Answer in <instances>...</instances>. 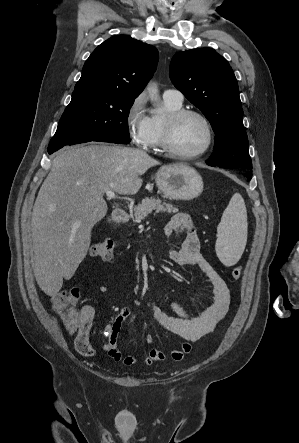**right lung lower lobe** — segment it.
<instances>
[{"instance_id": "obj_1", "label": "right lung lower lobe", "mask_w": 299, "mask_h": 443, "mask_svg": "<svg viewBox=\"0 0 299 443\" xmlns=\"http://www.w3.org/2000/svg\"><path fill=\"white\" fill-rule=\"evenodd\" d=\"M89 141L110 142V143H117V144L125 143L124 141L119 140V139L114 138V137H110V136H97V137H93V138H87V139L78 140V141H75V142H73V143H71L69 145L78 144V143H85V142H89ZM126 144H128V143H126ZM62 147L63 146L48 147V153L52 154L53 152L59 150Z\"/></svg>"}]
</instances>
